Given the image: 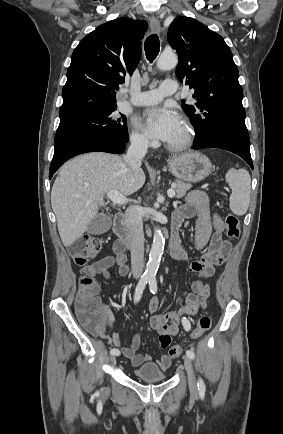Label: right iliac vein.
Wrapping results in <instances>:
<instances>
[{"instance_id": "63e3f726", "label": "right iliac vein", "mask_w": 283, "mask_h": 434, "mask_svg": "<svg viewBox=\"0 0 283 434\" xmlns=\"http://www.w3.org/2000/svg\"><path fill=\"white\" fill-rule=\"evenodd\" d=\"M109 361H110L111 364H115V362H116L115 356L111 355L110 358H109Z\"/></svg>"}]
</instances>
